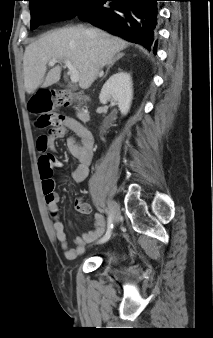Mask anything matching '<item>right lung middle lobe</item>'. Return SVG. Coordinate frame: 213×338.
Listing matches in <instances>:
<instances>
[{
  "label": "right lung middle lobe",
  "instance_id": "right-lung-middle-lobe-1",
  "mask_svg": "<svg viewBox=\"0 0 213 338\" xmlns=\"http://www.w3.org/2000/svg\"><path fill=\"white\" fill-rule=\"evenodd\" d=\"M96 0H29L31 29L41 24L67 20L78 15Z\"/></svg>",
  "mask_w": 213,
  "mask_h": 338
}]
</instances>
